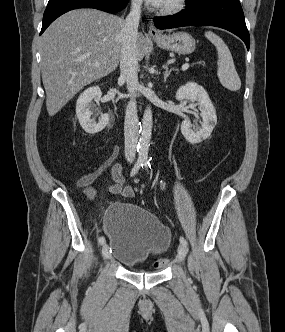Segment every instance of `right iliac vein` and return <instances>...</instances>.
Here are the masks:
<instances>
[{
  "mask_svg": "<svg viewBox=\"0 0 285 332\" xmlns=\"http://www.w3.org/2000/svg\"><path fill=\"white\" fill-rule=\"evenodd\" d=\"M102 255H103L104 259L110 258L109 248H108L107 244H104L102 247Z\"/></svg>",
  "mask_w": 285,
  "mask_h": 332,
  "instance_id": "63e3f726",
  "label": "right iliac vein"
}]
</instances>
